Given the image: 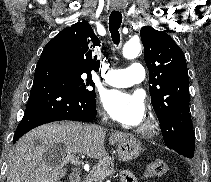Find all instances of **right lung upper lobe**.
Instances as JSON below:
<instances>
[{
    "label": "right lung upper lobe",
    "mask_w": 211,
    "mask_h": 182,
    "mask_svg": "<svg viewBox=\"0 0 211 182\" xmlns=\"http://www.w3.org/2000/svg\"><path fill=\"white\" fill-rule=\"evenodd\" d=\"M101 47L100 40L86 21L78 22L59 32L45 46L61 62L73 65L87 73L98 72L100 61L92 57L93 52Z\"/></svg>",
    "instance_id": "cb5924a9"
}]
</instances>
